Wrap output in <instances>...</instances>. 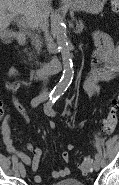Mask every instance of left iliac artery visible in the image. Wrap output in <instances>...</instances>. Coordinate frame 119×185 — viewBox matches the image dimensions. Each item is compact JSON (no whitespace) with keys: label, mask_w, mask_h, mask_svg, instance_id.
Listing matches in <instances>:
<instances>
[{"label":"left iliac artery","mask_w":119,"mask_h":185,"mask_svg":"<svg viewBox=\"0 0 119 185\" xmlns=\"http://www.w3.org/2000/svg\"><path fill=\"white\" fill-rule=\"evenodd\" d=\"M58 98H59V96L50 98L49 101L44 106V111H45V113L47 115H49V116H54L55 115V111L53 109V105L55 104V102L57 101ZM95 158H99L100 159V155L97 153L95 155Z\"/></svg>","instance_id":"1"}]
</instances>
